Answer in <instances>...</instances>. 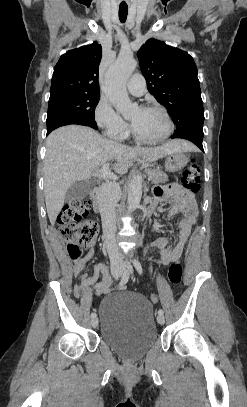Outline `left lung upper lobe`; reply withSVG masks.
Instances as JSON below:
<instances>
[{"label": "left lung upper lobe", "mask_w": 247, "mask_h": 407, "mask_svg": "<svg viewBox=\"0 0 247 407\" xmlns=\"http://www.w3.org/2000/svg\"><path fill=\"white\" fill-rule=\"evenodd\" d=\"M137 56L149 92L168 110L176 129L204 121L197 69L188 53L149 39Z\"/></svg>", "instance_id": "obj_1"}]
</instances>
